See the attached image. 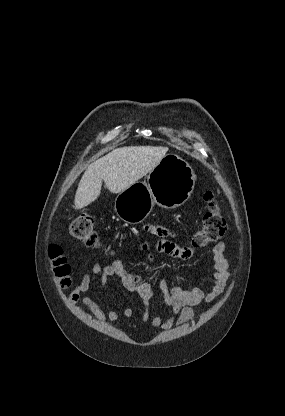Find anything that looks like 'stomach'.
I'll use <instances>...</instances> for the list:
<instances>
[{
    "mask_svg": "<svg viewBox=\"0 0 285 416\" xmlns=\"http://www.w3.org/2000/svg\"><path fill=\"white\" fill-rule=\"evenodd\" d=\"M195 180L185 160L176 154H167L149 172L146 182H136L118 194L115 212L127 224H140L151 214L154 204L166 210L185 204L194 190Z\"/></svg>",
    "mask_w": 285,
    "mask_h": 416,
    "instance_id": "0dacf381",
    "label": "stomach"
}]
</instances>
